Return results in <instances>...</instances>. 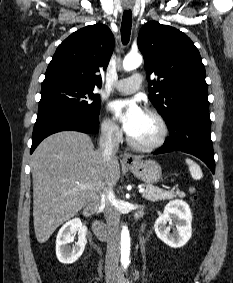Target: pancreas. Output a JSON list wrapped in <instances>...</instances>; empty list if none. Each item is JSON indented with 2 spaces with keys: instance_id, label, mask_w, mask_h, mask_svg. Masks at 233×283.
<instances>
[{
  "instance_id": "obj_1",
  "label": "pancreas",
  "mask_w": 233,
  "mask_h": 283,
  "mask_svg": "<svg viewBox=\"0 0 233 283\" xmlns=\"http://www.w3.org/2000/svg\"><path fill=\"white\" fill-rule=\"evenodd\" d=\"M145 192L142 193L143 198L150 201H164V200H171L173 198L184 197L185 194L180 190H170L164 191L158 187L153 185H146L144 186Z\"/></svg>"
}]
</instances>
